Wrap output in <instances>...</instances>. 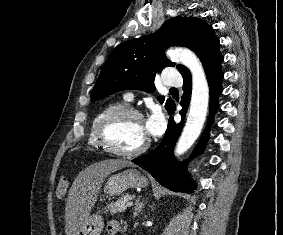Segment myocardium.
<instances>
[{"instance_id":"obj_1","label":"myocardium","mask_w":283,"mask_h":235,"mask_svg":"<svg viewBox=\"0 0 283 235\" xmlns=\"http://www.w3.org/2000/svg\"><path fill=\"white\" fill-rule=\"evenodd\" d=\"M126 117H135L143 121V115L139 110L135 108H131V107L117 108L115 110L108 112L101 118V120L99 121L96 127L95 135H96L98 144L106 152L112 155L120 156V157H136V156L143 154L148 149L150 145L149 138H147L146 141L137 149L125 151V150H120L116 148L110 142L107 136V131L110 125Z\"/></svg>"}]
</instances>
